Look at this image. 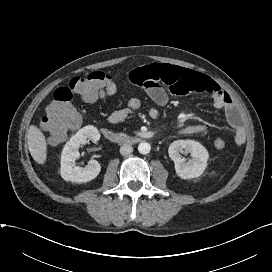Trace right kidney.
I'll use <instances>...</instances> for the list:
<instances>
[{
    "label": "right kidney",
    "mask_w": 272,
    "mask_h": 272,
    "mask_svg": "<svg viewBox=\"0 0 272 272\" xmlns=\"http://www.w3.org/2000/svg\"><path fill=\"white\" fill-rule=\"evenodd\" d=\"M100 139V133L96 127L88 125L80 129L65 144L61 153V177L66 181L85 183L95 179L100 173L101 166L96 160H90L84 167L77 166L75 161L79 159L78 149L88 140L93 142Z\"/></svg>",
    "instance_id": "obj_1"
}]
</instances>
